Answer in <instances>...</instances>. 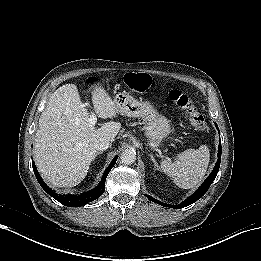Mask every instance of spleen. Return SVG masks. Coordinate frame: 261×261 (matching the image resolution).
I'll use <instances>...</instances> for the list:
<instances>
[{"mask_svg": "<svg viewBox=\"0 0 261 261\" xmlns=\"http://www.w3.org/2000/svg\"><path fill=\"white\" fill-rule=\"evenodd\" d=\"M209 161V150L206 145H201L197 149H187L179 153L175 162L170 158L162 160L161 168L178 187L190 189L202 181Z\"/></svg>", "mask_w": 261, "mask_h": 261, "instance_id": "spleen-1", "label": "spleen"}]
</instances>
